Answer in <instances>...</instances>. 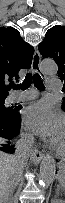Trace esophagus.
I'll list each match as a JSON object with an SVG mask.
<instances>
[{"label":"esophagus","instance_id":"obj_1","mask_svg":"<svg viewBox=\"0 0 65 203\" xmlns=\"http://www.w3.org/2000/svg\"><path fill=\"white\" fill-rule=\"evenodd\" d=\"M40 61H41L40 53L38 51H35L32 61V69L35 73H38L40 76L45 77V75L40 70ZM43 156L44 155L40 150L36 148L31 150V159L34 164H39Z\"/></svg>","mask_w":65,"mask_h":203}]
</instances>
